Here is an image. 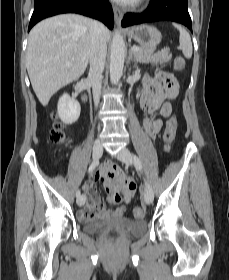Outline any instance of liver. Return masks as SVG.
<instances>
[{
    "mask_svg": "<svg viewBox=\"0 0 229 280\" xmlns=\"http://www.w3.org/2000/svg\"><path fill=\"white\" fill-rule=\"evenodd\" d=\"M92 20L64 14L45 19L28 37L26 66L33 90L43 106L62 87L85 72L91 51ZM106 41L110 31L105 30Z\"/></svg>",
    "mask_w": 229,
    "mask_h": 280,
    "instance_id": "liver-1",
    "label": "liver"
}]
</instances>
